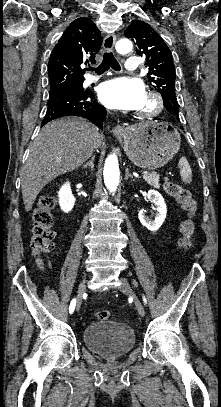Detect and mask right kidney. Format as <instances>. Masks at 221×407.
Returning a JSON list of instances; mask_svg holds the SVG:
<instances>
[{
    "mask_svg": "<svg viewBox=\"0 0 221 407\" xmlns=\"http://www.w3.org/2000/svg\"><path fill=\"white\" fill-rule=\"evenodd\" d=\"M60 208L63 212H70L75 204V197L72 194L70 183H65L58 192Z\"/></svg>",
    "mask_w": 221,
    "mask_h": 407,
    "instance_id": "1",
    "label": "right kidney"
}]
</instances>
